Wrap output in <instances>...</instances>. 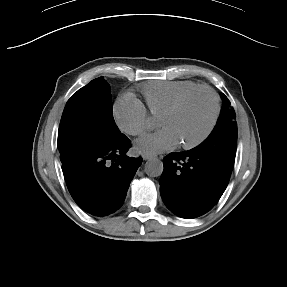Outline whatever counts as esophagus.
<instances>
[{
  "instance_id": "esophagus-1",
  "label": "esophagus",
  "mask_w": 287,
  "mask_h": 287,
  "mask_svg": "<svg viewBox=\"0 0 287 287\" xmlns=\"http://www.w3.org/2000/svg\"><path fill=\"white\" fill-rule=\"evenodd\" d=\"M142 158H143L144 160H149V159L154 158V156L151 155V154H143V155H142Z\"/></svg>"
}]
</instances>
